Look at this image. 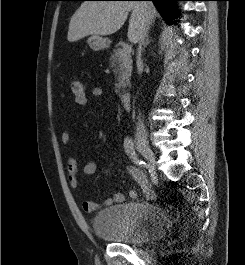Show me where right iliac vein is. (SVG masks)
<instances>
[{
	"label": "right iliac vein",
	"instance_id": "obj_1",
	"mask_svg": "<svg viewBox=\"0 0 245 265\" xmlns=\"http://www.w3.org/2000/svg\"><path fill=\"white\" fill-rule=\"evenodd\" d=\"M139 152L146 158L151 168L155 167V155L148 142L144 138H138L136 141Z\"/></svg>",
	"mask_w": 245,
	"mask_h": 265
}]
</instances>
